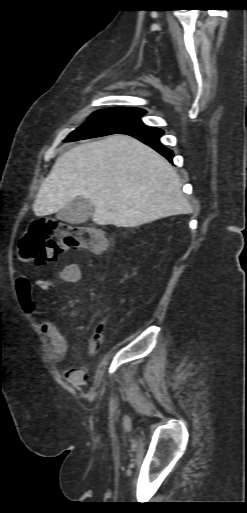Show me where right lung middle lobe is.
I'll return each instance as SVG.
<instances>
[{"instance_id": "right-lung-middle-lobe-1", "label": "right lung middle lobe", "mask_w": 247, "mask_h": 513, "mask_svg": "<svg viewBox=\"0 0 247 513\" xmlns=\"http://www.w3.org/2000/svg\"><path fill=\"white\" fill-rule=\"evenodd\" d=\"M145 111L138 108H110L93 113L88 123L74 130L65 141H76L119 133L120 131L141 124Z\"/></svg>"}]
</instances>
